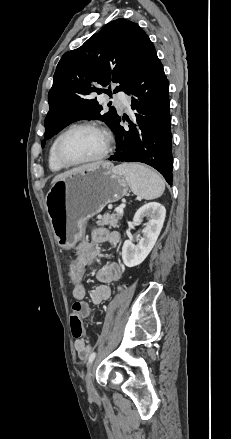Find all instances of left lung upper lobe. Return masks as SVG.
<instances>
[{
    "label": "left lung upper lobe",
    "instance_id": "1",
    "mask_svg": "<svg viewBox=\"0 0 231 439\" xmlns=\"http://www.w3.org/2000/svg\"><path fill=\"white\" fill-rule=\"evenodd\" d=\"M152 46L138 24L120 18L108 23L81 47L65 53L48 94L50 109L45 118L44 139L82 119L102 120L114 131L120 117L111 108L101 114L103 108L93 97L101 92L111 95L110 88L107 91L99 85L118 83L113 93L124 91Z\"/></svg>",
    "mask_w": 231,
    "mask_h": 439
}]
</instances>
